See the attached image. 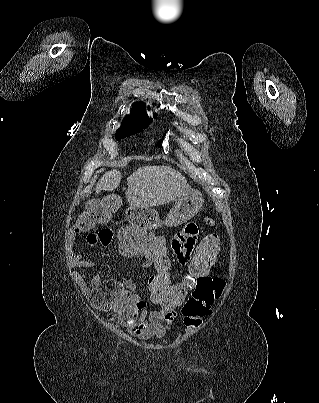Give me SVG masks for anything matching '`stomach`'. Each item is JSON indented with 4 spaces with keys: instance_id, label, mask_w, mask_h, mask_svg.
<instances>
[{
    "instance_id": "1",
    "label": "stomach",
    "mask_w": 319,
    "mask_h": 403,
    "mask_svg": "<svg viewBox=\"0 0 319 403\" xmlns=\"http://www.w3.org/2000/svg\"><path fill=\"white\" fill-rule=\"evenodd\" d=\"M203 202L202 194L192 189L177 198L165 221L159 219V212L148 208L130 207L126 211L127 223L140 226L147 233L158 234L162 224L170 227L178 226L193 218L201 209Z\"/></svg>"
}]
</instances>
